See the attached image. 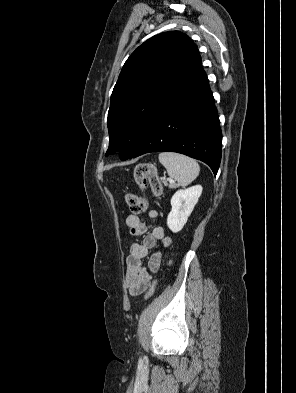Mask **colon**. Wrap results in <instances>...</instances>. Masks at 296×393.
I'll return each mask as SVG.
<instances>
[{"mask_svg": "<svg viewBox=\"0 0 296 393\" xmlns=\"http://www.w3.org/2000/svg\"><path fill=\"white\" fill-rule=\"evenodd\" d=\"M134 177L136 184L142 191L150 186L155 197L161 196L163 187L154 165L149 163L138 164L134 171ZM125 201L131 212L134 214L144 213L148 209V200L145 196H137L135 194L128 193L125 196ZM157 285V280H154L151 283L145 293V299H149L153 296L157 289Z\"/></svg>", "mask_w": 296, "mask_h": 393, "instance_id": "1", "label": "colon"}]
</instances>
